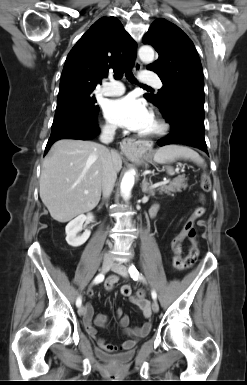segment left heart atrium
<instances>
[{
	"instance_id": "1",
	"label": "left heart atrium",
	"mask_w": 247,
	"mask_h": 385,
	"mask_svg": "<svg viewBox=\"0 0 247 385\" xmlns=\"http://www.w3.org/2000/svg\"><path fill=\"white\" fill-rule=\"evenodd\" d=\"M104 111L111 123L137 132L144 131L153 118L146 103L134 95L108 101Z\"/></svg>"
}]
</instances>
